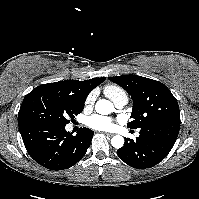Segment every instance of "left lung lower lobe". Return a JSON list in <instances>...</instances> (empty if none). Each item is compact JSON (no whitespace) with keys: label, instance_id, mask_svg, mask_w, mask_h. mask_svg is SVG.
Returning a JSON list of instances; mask_svg holds the SVG:
<instances>
[{"label":"left lung lower lobe","instance_id":"left-lung-lower-lobe-1","mask_svg":"<svg viewBox=\"0 0 199 199\" xmlns=\"http://www.w3.org/2000/svg\"><path fill=\"white\" fill-rule=\"evenodd\" d=\"M180 129V119L158 121L140 129L136 140L127 138L118 156L129 166L146 169L161 162L172 149Z\"/></svg>","mask_w":199,"mask_h":199}]
</instances>
